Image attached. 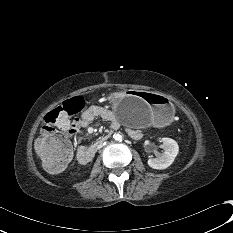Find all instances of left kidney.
Instances as JSON below:
<instances>
[{
  "label": "left kidney",
  "instance_id": "left-kidney-1",
  "mask_svg": "<svg viewBox=\"0 0 233 233\" xmlns=\"http://www.w3.org/2000/svg\"><path fill=\"white\" fill-rule=\"evenodd\" d=\"M164 152L157 155L156 158H149L148 165L153 169H166L169 167L179 152L177 142L171 138H162Z\"/></svg>",
  "mask_w": 233,
  "mask_h": 233
}]
</instances>
